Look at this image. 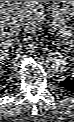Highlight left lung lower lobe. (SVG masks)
<instances>
[{
    "label": "left lung lower lobe",
    "instance_id": "obj_1",
    "mask_svg": "<svg viewBox=\"0 0 74 122\" xmlns=\"http://www.w3.org/2000/svg\"><path fill=\"white\" fill-rule=\"evenodd\" d=\"M63 89L74 92V77L68 76L66 79L60 82Z\"/></svg>",
    "mask_w": 74,
    "mask_h": 122
}]
</instances>
